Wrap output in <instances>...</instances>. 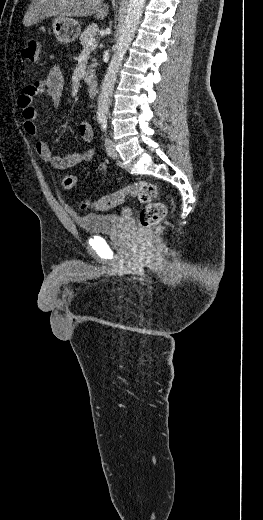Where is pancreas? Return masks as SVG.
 <instances>
[{
	"mask_svg": "<svg viewBox=\"0 0 263 520\" xmlns=\"http://www.w3.org/2000/svg\"><path fill=\"white\" fill-rule=\"evenodd\" d=\"M99 28L98 25L93 23L89 25L80 35V41L83 47L87 46V43L90 38L95 37L97 35ZM92 64L88 67L87 73L85 75V81L88 82L91 78V74L93 73V68L95 67V59L92 60Z\"/></svg>",
	"mask_w": 263,
	"mask_h": 520,
	"instance_id": "pancreas-1",
	"label": "pancreas"
}]
</instances>
